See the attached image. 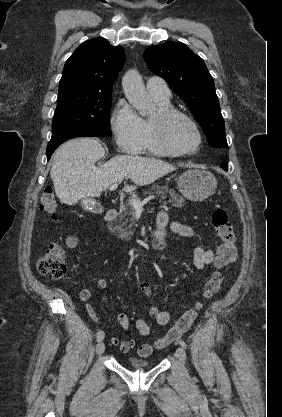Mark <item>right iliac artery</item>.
<instances>
[{
    "mask_svg": "<svg viewBox=\"0 0 282 417\" xmlns=\"http://www.w3.org/2000/svg\"><path fill=\"white\" fill-rule=\"evenodd\" d=\"M103 338H104V332H103V331H100V332L98 333V335H97L96 340H97V341H101Z\"/></svg>",
    "mask_w": 282,
    "mask_h": 417,
    "instance_id": "obj_1",
    "label": "right iliac artery"
}]
</instances>
